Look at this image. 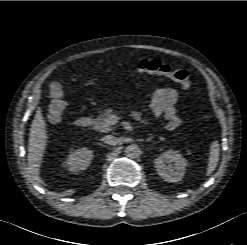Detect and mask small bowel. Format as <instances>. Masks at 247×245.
I'll return each instance as SVG.
<instances>
[{"instance_id":"1","label":"small bowel","mask_w":247,"mask_h":245,"mask_svg":"<svg viewBox=\"0 0 247 245\" xmlns=\"http://www.w3.org/2000/svg\"><path fill=\"white\" fill-rule=\"evenodd\" d=\"M178 92L172 87H159L152 95L150 109L155 117H164L166 120L177 115L175 104Z\"/></svg>"}]
</instances>
